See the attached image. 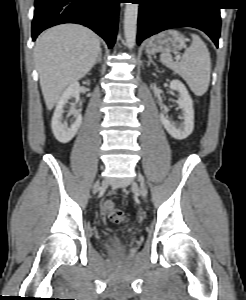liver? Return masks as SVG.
<instances>
[{
    "mask_svg": "<svg viewBox=\"0 0 246 300\" xmlns=\"http://www.w3.org/2000/svg\"><path fill=\"white\" fill-rule=\"evenodd\" d=\"M100 51L99 37L81 25H58L37 38L34 61L47 109L55 106L69 84L92 69Z\"/></svg>",
    "mask_w": 246,
    "mask_h": 300,
    "instance_id": "obj_1",
    "label": "liver"
}]
</instances>
